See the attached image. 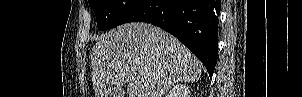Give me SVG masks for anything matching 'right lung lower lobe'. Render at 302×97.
Wrapping results in <instances>:
<instances>
[{
    "instance_id": "1",
    "label": "right lung lower lobe",
    "mask_w": 302,
    "mask_h": 97,
    "mask_svg": "<svg viewBox=\"0 0 302 97\" xmlns=\"http://www.w3.org/2000/svg\"><path fill=\"white\" fill-rule=\"evenodd\" d=\"M221 0H142L121 24L147 22L177 37L212 77L218 52Z\"/></svg>"
}]
</instances>
